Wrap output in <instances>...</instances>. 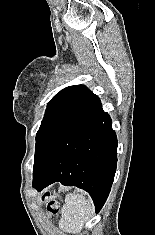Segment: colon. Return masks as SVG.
I'll list each match as a JSON object with an SVG mask.
<instances>
[{"mask_svg": "<svg viewBox=\"0 0 155 235\" xmlns=\"http://www.w3.org/2000/svg\"><path fill=\"white\" fill-rule=\"evenodd\" d=\"M42 199L46 202L48 212L56 214L59 212V202L53 199L49 194H45Z\"/></svg>", "mask_w": 155, "mask_h": 235, "instance_id": "colon-1", "label": "colon"}]
</instances>
